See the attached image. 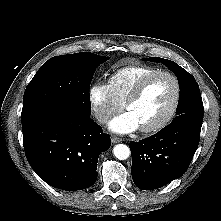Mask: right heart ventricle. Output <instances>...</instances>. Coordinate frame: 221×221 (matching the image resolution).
Returning a JSON list of instances; mask_svg holds the SVG:
<instances>
[{
  "label": "right heart ventricle",
  "mask_w": 221,
  "mask_h": 221,
  "mask_svg": "<svg viewBox=\"0 0 221 221\" xmlns=\"http://www.w3.org/2000/svg\"><path fill=\"white\" fill-rule=\"evenodd\" d=\"M157 70L147 65H127L116 69L109 76L108 86L116 100L123 103L141 78Z\"/></svg>",
  "instance_id": "1"
}]
</instances>
